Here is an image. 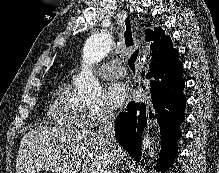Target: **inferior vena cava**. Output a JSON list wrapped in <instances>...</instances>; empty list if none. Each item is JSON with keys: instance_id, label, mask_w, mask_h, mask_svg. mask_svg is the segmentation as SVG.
Segmentation results:
<instances>
[{"instance_id": "602c4592", "label": "inferior vena cava", "mask_w": 219, "mask_h": 173, "mask_svg": "<svg viewBox=\"0 0 219 173\" xmlns=\"http://www.w3.org/2000/svg\"><path fill=\"white\" fill-rule=\"evenodd\" d=\"M115 114L112 109L105 108L102 112L98 135L107 145L108 155V173L118 172L119 145L115 139Z\"/></svg>"}]
</instances>
